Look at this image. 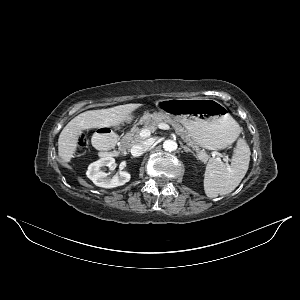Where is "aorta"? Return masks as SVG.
I'll list each match as a JSON object with an SVG mask.
<instances>
[{
  "instance_id": "obj_1",
  "label": "aorta",
  "mask_w": 300,
  "mask_h": 300,
  "mask_svg": "<svg viewBox=\"0 0 300 300\" xmlns=\"http://www.w3.org/2000/svg\"><path fill=\"white\" fill-rule=\"evenodd\" d=\"M177 147H178L177 143L173 140H165L163 143V148L167 152L175 151Z\"/></svg>"
}]
</instances>
